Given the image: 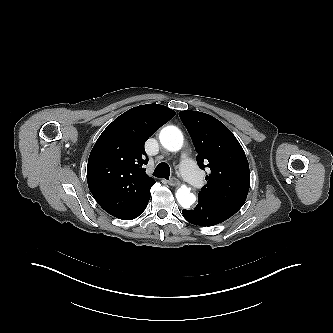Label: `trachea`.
Instances as JSON below:
<instances>
[{
    "label": "trachea",
    "mask_w": 333,
    "mask_h": 333,
    "mask_svg": "<svg viewBox=\"0 0 333 333\" xmlns=\"http://www.w3.org/2000/svg\"><path fill=\"white\" fill-rule=\"evenodd\" d=\"M153 175L155 177H158V178H165V179H169V176H170V167L167 163L165 162H161L159 163L156 168H155V171L153 173Z\"/></svg>",
    "instance_id": "3493384b"
}]
</instances>
